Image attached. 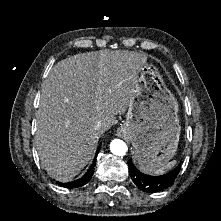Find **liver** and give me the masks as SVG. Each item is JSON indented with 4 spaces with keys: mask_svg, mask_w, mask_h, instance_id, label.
Listing matches in <instances>:
<instances>
[{
    "mask_svg": "<svg viewBox=\"0 0 221 221\" xmlns=\"http://www.w3.org/2000/svg\"><path fill=\"white\" fill-rule=\"evenodd\" d=\"M144 53L100 50L61 60L42 85L35 145L48 175L73 179L90 161L96 138L117 123L134 93ZM101 121L100 130L95 124Z\"/></svg>",
    "mask_w": 221,
    "mask_h": 221,
    "instance_id": "6515ba94",
    "label": "liver"
}]
</instances>
